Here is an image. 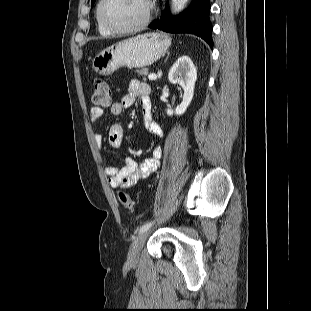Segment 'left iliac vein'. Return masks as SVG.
<instances>
[{"instance_id":"obj_1","label":"left iliac vein","mask_w":311,"mask_h":311,"mask_svg":"<svg viewBox=\"0 0 311 311\" xmlns=\"http://www.w3.org/2000/svg\"><path fill=\"white\" fill-rule=\"evenodd\" d=\"M149 231L141 233L135 241L131 244V247L128 252V261L130 263H136L139 260L141 250L147 240Z\"/></svg>"}]
</instances>
